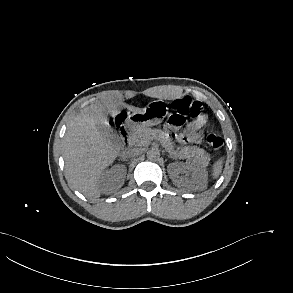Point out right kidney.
I'll return each instance as SVG.
<instances>
[{
	"label": "right kidney",
	"mask_w": 293,
	"mask_h": 293,
	"mask_svg": "<svg viewBox=\"0 0 293 293\" xmlns=\"http://www.w3.org/2000/svg\"><path fill=\"white\" fill-rule=\"evenodd\" d=\"M126 176V168L122 165H115L110 170L101 173L99 181L101 183L119 182L121 186Z\"/></svg>",
	"instance_id": "obj_1"
}]
</instances>
